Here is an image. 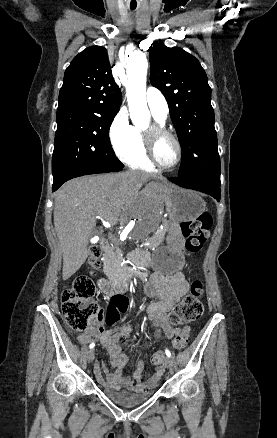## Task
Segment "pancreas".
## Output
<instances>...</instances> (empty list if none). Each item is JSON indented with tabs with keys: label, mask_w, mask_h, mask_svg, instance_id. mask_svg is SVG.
I'll list each match as a JSON object with an SVG mask.
<instances>
[{
	"label": "pancreas",
	"mask_w": 277,
	"mask_h": 438,
	"mask_svg": "<svg viewBox=\"0 0 277 438\" xmlns=\"http://www.w3.org/2000/svg\"><path fill=\"white\" fill-rule=\"evenodd\" d=\"M167 229L166 228H159L158 232L154 231L151 234V239H145L144 246L141 248L143 251L146 248H159L160 241L162 238L160 237H166L167 236ZM113 251H105L104 254V267H107L108 270H119L120 269V262L121 257L118 254V251H114L116 248L113 246L111 248Z\"/></svg>",
	"instance_id": "pancreas-1"
}]
</instances>
